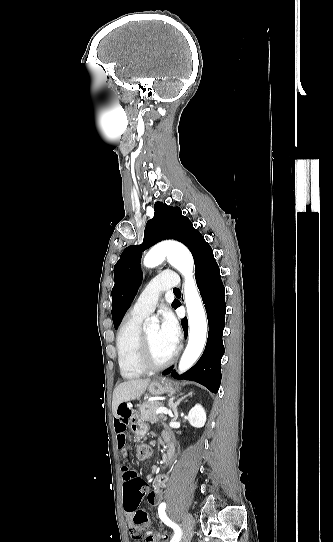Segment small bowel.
Listing matches in <instances>:
<instances>
[{"mask_svg":"<svg viewBox=\"0 0 333 542\" xmlns=\"http://www.w3.org/2000/svg\"><path fill=\"white\" fill-rule=\"evenodd\" d=\"M131 407H132V404L130 401L128 400L123 401L122 404L118 407L116 416L114 418L116 446L123 458L126 456V453L128 451L127 428L132 419ZM166 435L168 434L164 435V441L167 444ZM130 473L131 472H129L125 466H122V476H123V482L125 486L126 497L130 496V491L126 488V483L128 482L130 478ZM168 479H169V473L159 474L155 476V478L153 479V490L148 494L149 504L156 506L161 503V501L164 498V487ZM140 511H143V510H140ZM132 513H133L132 510L130 509L127 510L126 514L124 515V518L126 520L130 519L128 523V530L133 538H137L139 536V533L143 531L147 526L146 524H140L137 522V517L141 513L135 512L133 515ZM156 533L159 538L158 542H160L161 539L164 538V535L162 533H158V532Z\"/></svg>","mask_w":333,"mask_h":542,"instance_id":"c3829d8e","label":"small bowel"}]
</instances>
